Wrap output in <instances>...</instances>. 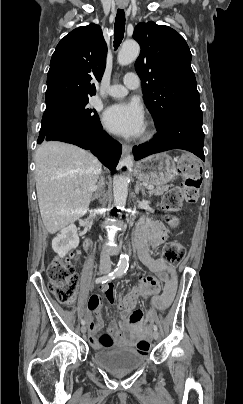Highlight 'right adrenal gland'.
<instances>
[{
    "instance_id": "1",
    "label": "right adrenal gland",
    "mask_w": 243,
    "mask_h": 404,
    "mask_svg": "<svg viewBox=\"0 0 243 404\" xmlns=\"http://www.w3.org/2000/svg\"><path fill=\"white\" fill-rule=\"evenodd\" d=\"M101 194L102 190H96V194L93 196V198H91V202H93V200H97V198H100Z\"/></svg>"
}]
</instances>
